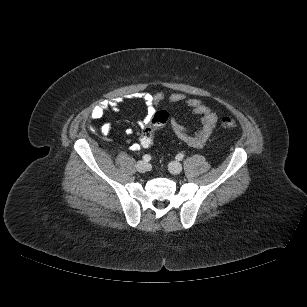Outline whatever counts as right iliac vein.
Instances as JSON below:
<instances>
[{"instance_id": "63e3f726", "label": "right iliac vein", "mask_w": 307, "mask_h": 307, "mask_svg": "<svg viewBox=\"0 0 307 307\" xmlns=\"http://www.w3.org/2000/svg\"><path fill=\"white\" fill-rule=\"evenodd\" d=\"M136 169L139 172H146L150 169V166L148 163H146L145 161H139L136 165Z\"/></svg>"}]
</instances>
